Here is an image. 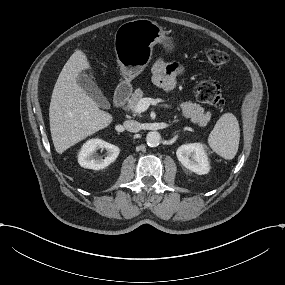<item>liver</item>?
<instances>
[{
  "label": "liver",
  "mask_w": 285,
  "mask_h": 285,
  "mask_svg": "<svg viewBox=\"0 0 285 285\" xmlns=\"http://www.w3.org/2000/svg\"><path fill=\"white\" fill-rule=\"evenodd\" d=\"M90 69L84 52L76 50L64 65L53 89L50 131L55 150L62 154L79 141L106 128L113 120L77 83L79 73Z\"/></svg>",
  "instance_id": "6515ba94"
}]
</instances>
